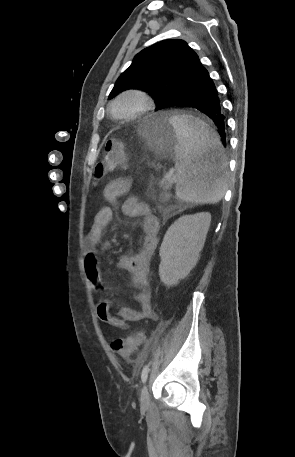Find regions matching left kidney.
<instances>
[{
    "instance_id": "obj_1",
    "label": "left kidney",
    "mask_w": 295,
    "mask_h": 457,
    "mask_svg": "<svg viewBox=\"0 0 295 457\" xmlns=\"http://www.w3.org/2000/svg\"><path fill=\"white\" fill-rule=\"evenodd\" d=\"M210 222L211 215L201 212L182 216L168 228L159 252V276L166 286L177 285L194 268Z\"/></svg>"
}]
</instances>
